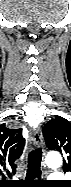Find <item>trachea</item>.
<instances>
[{
	"instance_id": "3493384b",
	"label": "trachea",
	"mask_w": 71,
	"mask_h": 187,
	"mask_svg": "<svg viewBox=\"0 0 71 187\" xmlns=\"http://www.w3.org/2000/svg\"><path fill=\"white\" fill-rule=\"evenodd\" d=\"M41 159H42V151L40 148L33 150L29 153L28 169H27L28 178L41 176V169H40Z\"/></svg>"
}]
</instances>
